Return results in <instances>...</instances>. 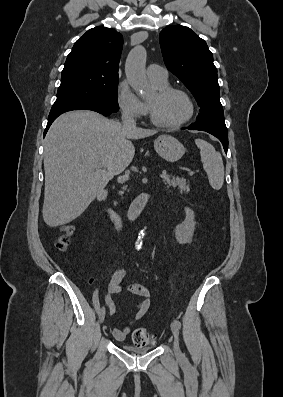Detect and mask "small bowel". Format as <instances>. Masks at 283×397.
I'll return each instance as SVG.
<instances>
[{
    "mask_svg": "<svg viewBox=\"0 0 283 397\" xmlns=\"http://www.w3.org/2000/svg\"><path fill=\"white\" fill-rule=\"evenodd\" d=\"M126 274L124 268H118L112 275L110 282L107 286L108 296L106 303L108 307V313L110 316L114 315L116 306L111 298V295L127 291L140 297V300L136 304L135 313L132 316L129 324L123 328H114L112 334L117 341H123L130 332L131 326L139 321L150 309L151 306V292L148 287L139 283H129L127 285L122 284V279Z\"/></svg>",
    "mask_w": 283,
    "mask_h": 397,
    "instance_id": "1",
    "label": "small bowel"
}]
</instances>
